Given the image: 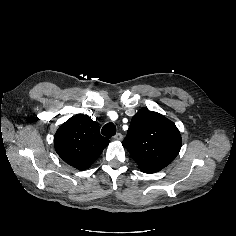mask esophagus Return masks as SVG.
<instances>
[{
	"label": "esophagus",
	"mask_w": 236,
	"mask_h": 236,
	"mask_svg": "<svg viewBox=\"0 0 236 236\" xmlns=\"http://www.w3.org/2000/svg\"><path fill=\"white\" fill-rule=\"evenodd\" d=\"M114 140H122L123 139V135L121 133H117L115 136H113Z\"/></svg>",
	"instance_id": "esophagus-1"
}]
</instances>
